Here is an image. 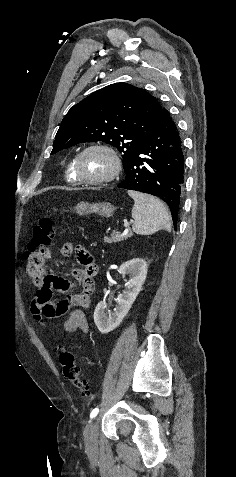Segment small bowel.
Returning <instances> with one entry per match:
<instances>
[{"instance_id": "obj_1", "label": "small bowel", "mask_w": 236, "mask_h": 477, "mask_svg": "<svg viewBox=\"0 0 236 477\" xmlns=\"http://www.w3.org/2000/svg\"><path fill=\"white\" fill-rule=\"evenodd\" d=\"M59 253L65 257L75 256L78 265L72 270L75 282L71 283L56 275H44L43 272L42 278L36 282L39 288L32 300L31 311L44 326H47L44 319H55L67 315L61 327L63 333H87L89 324L80 308L90 307V296L95 290L93 277L96 266L93 257L84 248L70 242L64 244L59 249Z\"/></svg>"}]
</instances>
